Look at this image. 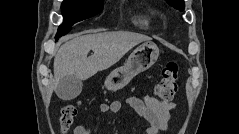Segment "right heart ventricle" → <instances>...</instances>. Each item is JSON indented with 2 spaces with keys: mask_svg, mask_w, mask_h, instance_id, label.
I'll return each mask as SVG.
<instances>
[{
  "mask_svg": "<svg viewBox=\"0 0 239 134\" xmlns=\"http://www.w3.org/2000/svg\"><path fill=\"white\" fill-rule=\"evenodd\" d=\"M135 22L143 26L147 25L148 23L147 19L144 17L137 18Z\"/></svg>",
  "mask_w": 239,
  "mask_h": 134,
  "instance_id": "right-heart-ventricle-1",
  "label": "right heart ventricle"
}]
</instances>
